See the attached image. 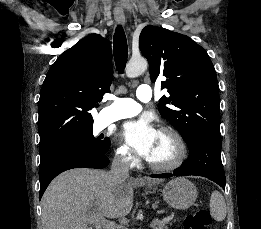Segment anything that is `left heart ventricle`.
<instances>
[{"instance_id":"obj_1","label":"left heart ventricle","mask_w":261,"mask_h":229,"mask_svg":"<svg viewBox=\"0 0 261 229\" xmlns=\"http://www.w3.org/2000/svg\"><path fill=\"white\" fill-rule=\"evenodd\" d=\"M174 147L167 135L158 133L153 150L148 160L154 163H165L174 155Z\"/></svg>"}]
</instances>
